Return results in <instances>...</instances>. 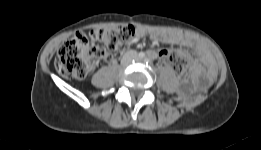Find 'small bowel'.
<instances>
[{"instance_id": "1", "label": "small bowel", "mask_w": 261, "mask_h": 150, "mask_svg": "<svg viewBox=\"0 0 261 150\" xmlns=\"http://www.w3.org/2000/svg\"><path fill=\"white\" fill-rule=\"evenodd\" d=\"M149 36L151 40L154 43H165V44H171V45H179L182 47L189 48L193 51L195 56L202 62V64L205 66V71L199 64H195L193 66L195 79L193 81V85L195 84H202L203 80L205 78H209L212 76L215 70L214 61L208 52L207 48L197 41L196 39L184 35H174V34H167L163 32L158 31H149L145 28H138L136 39H140L144 36ZM166 50H150L148 51V55L153 58H160L163 62V53ZM190 89V87H188Z\"/></svg>"}]
</instances>
